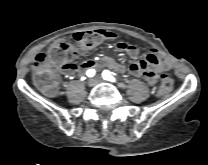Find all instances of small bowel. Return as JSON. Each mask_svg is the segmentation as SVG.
Here are the masks:
<instances>
[{
	"label": "small bowel",
	"mask_w": 208,
	"mask_h": 165,
	"mask_svg": "<svg viewBox=\"0 0 208 165\" xmlns=\"http://www.w3.org/2000/svg\"><path fill=\"white\" fill-rule=\"evenodd\" d=\"M102 39L113 40L116 38V33L111 30L101 29L96 31ZM117 49L126 53L128 56L134 58L139 54L136 46L119 42ZM102 64L106 67L114 69L119 72H125V67L119 62L115 61L111 57H105L102 60ZM96 65L94 58H84L80 63H74L72 61L64 62L60 65V72L62 74H80L82 69L92 68ZM170 67V61L167 58L160 57L156 50L150 51L143 60L133 62L129 66V72L135 76L142 77L148 83L153 84L157 80V73L159 71L166 70Z\"/></svg>",
	"instance_id": "1"
}]
</instances>
